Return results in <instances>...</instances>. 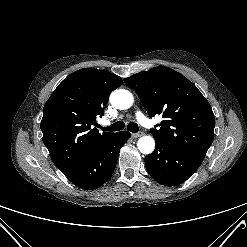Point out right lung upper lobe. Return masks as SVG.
<instances>
[{
	"label": "right lung upper lobe",
	"mask_w": 247,
	"mask_h": 247,
	"mask_svg": "<svg viewBox=\"0 0 247 247\" xmlns=\"http://www.w3.org/2000/svg\"><path fill=\"white\" fill-rule=\"evenodd\" d=\"M122 79L110 72L84 68L67 76L54 90L43 110V142L53 163L64 174L114 133L101 135L96 118Z\"/></svg>",
	"instance_id": "right-lung-upper-lobe-1"
}]
</instances>
